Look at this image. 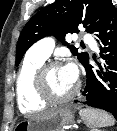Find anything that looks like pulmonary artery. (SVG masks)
I'll return each mask as SVG.
<instances>
[{"instance_id":"pulmonary-artery-1","label":"pulmonary artery","mask_w":117,"mask_h":131,"mask_svg":"<svg viewBox=\"0 0 117 131\" xmlns=\"http://www.w3.org/2000/svg\"><path fill=\"white\" fill-rule=\"evenodd\" d=\"M83 40L90 44L93 49H97L96 43L91 35L84 34ZM54 47V42L51 38H45L43 40H40L36 44H34L28 51L27 57L28 58H35V59H41L46 60Z\"/></svg>"}]
</instances>
